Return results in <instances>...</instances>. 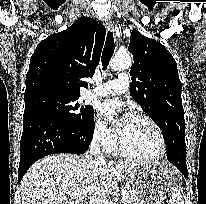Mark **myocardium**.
Wrapping results in <instances>:
<instances>
[{"mask_svg":"<svg viewBox=\"0 0 206 204\" xmlns=\"http://www.w3.org/2000/svg\"><path fill=\"white\" fill-rule=\"evenodd\" d=\"M134 117L143 119L145 121H147L156 131L159 139H160V143H161V150L160 152L152 157H146V156H141V155H137L133 152H131L124 144L123 139L121 137V135L119 136V150L120 152L133 160H137V161H141V162H147V163H153V162H158L160 160H162L168 153V143L165 137V134L162 130V128L159 126V124L149 115L142 113V112H137L133 114Z\"/></svg>","mask_w":206,"mask_h":204,"instance_id":"obj_1","label":"myocardium"}]
</instances>
